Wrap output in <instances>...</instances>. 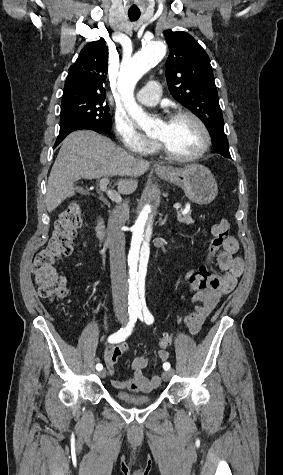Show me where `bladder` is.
Masks as SVG:
<instances>
[{
	"label": "bladder",
	"mask_w": 283,
	"mask_h": 475,
	"mask_svg": "<svg viewBox=\"0 0 283 475\" xmlns=\"http://www.w3.org/2000/svg\"><path fill=\"white\" fill-rule=\"evenodd\" d=\"M113 398L125 405L148 406L154 401V395L118 390L113 392Z\"/></svg>",
	"instance_id": "31cf9c89"
}]
</instances>
